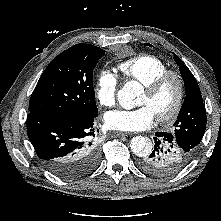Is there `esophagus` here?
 I'll return each instance as SVG.
<instances>
[{
    "instance_id": "1",
    "label": "esophagus",
    "mask_w": 221,
    "mask_h": 221,
    "mask_svg": "<svg viewBox=\"0 0 221 221\" xmlns=\"http://www.w3.org/2000/svg\"><path fill=\"white\" fill-rule=\"evenodd\" d=\"M129 134L128 133H125V132H113L112 133V136L114 137H122V136H128Z\"/></svg>"
}]
</instances>
